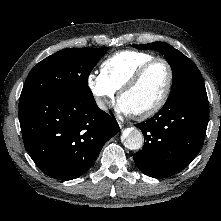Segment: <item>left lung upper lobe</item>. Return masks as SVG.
<instances>
[{
    "instance_id": "5c2ea615",
    "label": "left lung upper lobe",
    "mask_w": 221,
    "mask_h": 221,
    "mask_svg": "<svg viewBox=\"0 0 221 221\" xmlns=\"http://www.w3.org/2000/svg\"><path fill=\"white\" fill-rule=\"evenodd\" d=\"M138 49L156 50L162 53L173 72V84L169 99L184 95L206 94L202 75L197 66L183 53L163 42L133 45Z\"/></svg>"
}]
</instances>
